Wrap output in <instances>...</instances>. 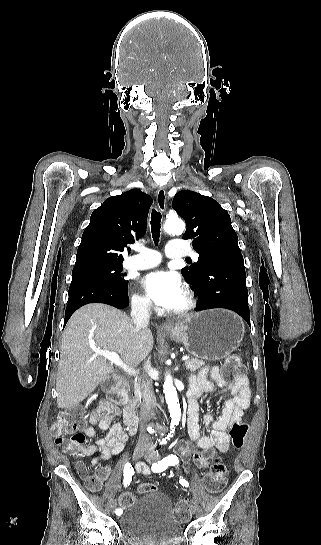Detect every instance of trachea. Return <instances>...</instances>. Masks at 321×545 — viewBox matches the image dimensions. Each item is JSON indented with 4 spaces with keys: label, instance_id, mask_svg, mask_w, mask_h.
Wrapping results in <instances>:
<instances>
[{
    "label": "trachea",
    "instance_id": "1",
    "mask_svg": "<svg viewBox=\"0 0 321 545\" xmlns=\"http://www.w3.org/2000/svg\"><path fill=\"white\" fill-rule=\"evenodd\" d=\"M161 213L153 209L151 213V232L154 243L157 245L160 239V229H161ZM187 260V259H186Z\"/></svg>",
    "mask_w": 321,
    "mask_h": 545
}]
</instances>
